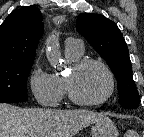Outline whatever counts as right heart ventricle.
<instances>
[{
	"label": "right heart ventricle",
	"mask_w": 144,
	"mask_h": 137,
	"mask_svg": "<svg viewBox=\"0 0 144 137\" xmlns=\"http://www.w3.org/2000/svg\"><path fill=\"white\" fill-rule=\"evenodd\" d=\"M81 54L82 52H78L73 48L65 47V55L70 62H75L76 60H78L81 57ZM54 76L56 77L57 83L61 91V95L63 97V95L66 93L64 78L59 74H54Z\"/></svg>",
	"instance_id": "1"
}]
</instances>
